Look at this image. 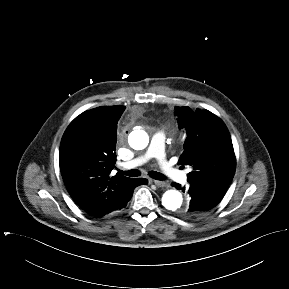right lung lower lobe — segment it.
Listing matches in <instances>:
<instances>
[{
	"label": "right lung lower lobe",
	"mask_w": 289,
	"mask_h": 289,
	"mask_svg": "<svg viewBox=\"0 0 289 289\" xmlns=\"http://www.w3.org/2000/svg\"><path fill=\"white\" fill-rule=\"evenodd\" d=\"M146 183H147V180L143 179V178H137V179L134 180L133 187H132V189H131L128 197H127V200H126L123 208L127 205V202L131 199L133 191H134V188L139 186V185L146 184Z\"/></svg>",
	"instance_id": "right-lung-lower-lobe-1"
}]
</instances>
